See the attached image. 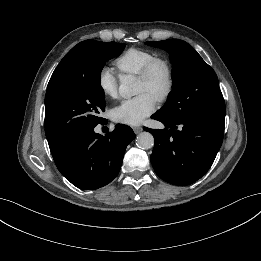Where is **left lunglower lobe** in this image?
<instances>
[{
	"instance_id": "1",
	"label": "left lung lower lobe",
	"mask_w": 261,
	"mask_h": 261,
	"mask_svg": "<svg viewBox=\"0 0 261 261\" xmlns=\"http://www.w3.org/2000/svg\"><path fill=\"white\" fill-rule=\"evenodd\" d=\"M153 118L165 125L162 130L145 128L155 140L151 162L156 174L174 185H189L201 178L221 147L225 112L179 120L156 113Z\"/></svg>"
}]
</instances>
